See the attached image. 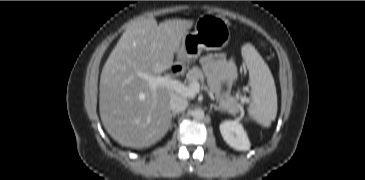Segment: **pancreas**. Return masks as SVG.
I'll list each match as a JSON object with an SVG mask.
<instances>
[{"label": "pancreas", "instance_id": "cf45deb5", "mask_svg": "<svg viewBox=\"0 0 365 180\" xmlns=\"http://www.w3.org/2000/svg\"><path fill=\"white\" fill-rule=\"evenodd\" d=\"M186 77L189 84L194 81L204 83L205 80L203 71L197 66H194L192 69H190ZM217 101L219 102V105L223 110L230 113H235L237 109L241 107L238 99L231 97L229 94H217Z\"/></svg>", "mask_w": 365, "mask_h": 180}]
</instances>
